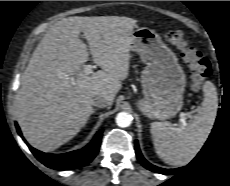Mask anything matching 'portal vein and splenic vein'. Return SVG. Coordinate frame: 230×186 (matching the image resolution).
<instances>
[{"instance_id": "obj_1", "label": "portal vein and splenic vein", "mask_w": 230, "mask_h": 186, "mask_svg": "<svg viewBox=\"0 0 230 186\" xmlns=\"http://www.w3.org/2000/svg\"><path fill=\"white\" fill-rule=\"evenodd\" d=\"M93 66L92 65H90V64H88V65H85L84 66V73L86 74V75H90V74H92L93 73ZM186 116H187V114L186 113H181L180 114V124L182 125V126H185L186 125Z\"/></svg>"}]
</instances>
